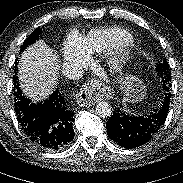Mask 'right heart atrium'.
I'll return each instance as SVG.
<instances>
[{"label": "right heart atrium", "instance_id": "1", "mask_svg": "<svg viewBox=\"0 0 183 183\" xmlns=\"http://www.w3.org/2000/svg\"><path fill=\"white\" fill-rule=\"evenodd\" d=\"M63 57L65 61H75L82 63L86 60L83 50L78 45L77 41L69 40L63 50Z\"/></svg>", "mask_w": 183, "mask_h": 183}]
</instances>
